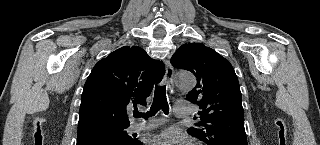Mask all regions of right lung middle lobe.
<instances>
[{
  "label": "right lung middle lobe",
  "instance_id": "right-lung-middle-lobe-1",
  "mask_svg": "<svg viewBox=\"0 0 320 145\" xmlns=\"http://www.w3.org/2000/svg\"><path fill=\"white\" fill-rule=\"evenodd\" d=\"M125 128L127 127H119V128H102L97 130L96 132H100L109 136H112L118 140L123 142L131 143L133 142V138L127 135Z\"/></svg>",
  "mask_w": 320,
  "mask_h": 145
}]
</instances>
